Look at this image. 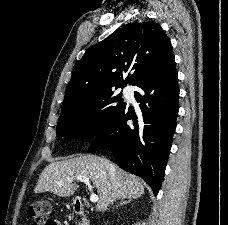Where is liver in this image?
Listing matches in <instances>:
<instances>
[{"label": "liver", "mask_w": 228, "mask_h": 225, "mask_svg": "<svg viewBox=\"0 0 228 225\" xmlns=\"http://www.w3.org/2000/svg\"><path fill=\"white\" fill-rule=\"evenodd\" d=\"M77 177H88L97 189L99 201L96 211H109L108 207L120 199H139L145 193L141 179L129 175L108 159L96 155H81L68 161L50 163L39 175L34 193H54L58 197H71L79 185Z\"/></svg>", "instance_id": "6515ba94"}]
</instances>
